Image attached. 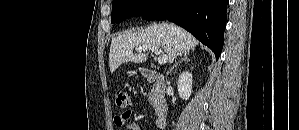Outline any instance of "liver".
Masks as SVG:
<instances>
[{
  "mask_svg": "<svg viewBox=\"0 0 299 130\" xmlns=\"http://www.w3.org/2000/svg\"><path fill=\"white\" fill-rule=\"evenodd\" d=\"M199 41L186 30L168 23H154L137 32L128 31L112 38L109 53V67L111 73L123 63H142L148 58L147 54H134L133 50L139 46L162 47L168 55L169 62L182 53H188L198 45Z\"/></svg>",
  "mask_w": 299,
  "mask_h": 130,
  "instance_id": "liver-1",
  "label": "liver"
}]
</instances>
